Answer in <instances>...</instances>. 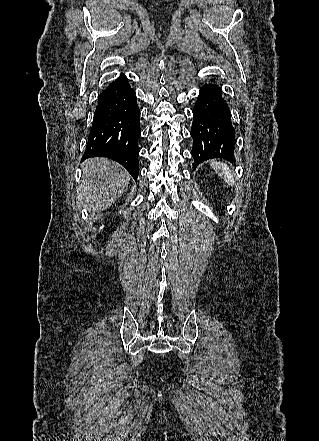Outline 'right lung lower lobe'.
<instances>
[{
	"label": "right lung lower lobe",
	"instance_id": "98d812e1",
	"mask_svg": "<svg viewBox=\"0 0 319 441\" xmlns=\"http://www.w3.org/2000/svg\"><path fill=\"white\" fill-rule=\"evenodd\" d=\"M140 110L136 93L122 75L98 97L94 121L83 158L103 156L124 166L138 177Z\"/></svg>",
	"mask_w": 319,
	"mask_h": 441
}]
</instances>
